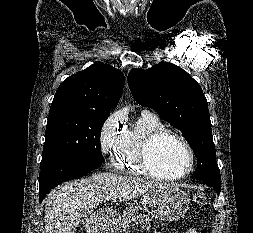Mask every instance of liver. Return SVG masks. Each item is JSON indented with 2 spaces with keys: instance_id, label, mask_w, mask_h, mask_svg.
Listing matches in <instances>:
<instances>
[{
  "instance_id": "liver-1",
  "label": "liver",
  "mask_w": 253,
  "mask_h": 233,
  "mask_svg": "<svg viewBox=\"0 0 253 233\" xmlns=\"http://www.w3.org/2000/svg\"><path fill=\"white\" fill-rule=\"evenodd\" d=\"M166 185L141 178L101 173L64 184L45 205L46 233H74L80 221L107 195L124 202Z\"/></svg>"
}]
</instances>
